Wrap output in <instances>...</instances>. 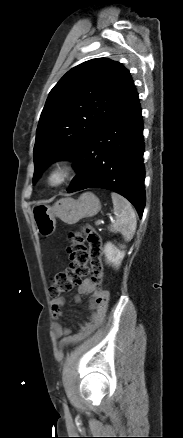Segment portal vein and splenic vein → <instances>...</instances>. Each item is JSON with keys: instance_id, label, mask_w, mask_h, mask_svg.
Instances as JSON below:
<instances>
[{"instance_id": "portal-vein-and-splenic-vein-1", "label": "portal vein and splenic vein", "mask_w": 183, "mask_h": 438, "mask_svg": "<svg viewBox=\"0 0 183 438\" xmlns=\"http://www.w3.org/2000/svg\"><path fill=\"white\" fill-rule=\"evenodd\" d=\"M98 225H101V224H104V221L103 220H97V222H96Z\"/></svg>"}]
</instances>
